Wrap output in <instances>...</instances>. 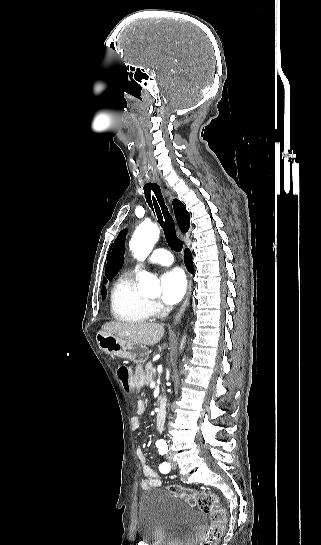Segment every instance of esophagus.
<instances>
[{
	"label": "esophagus",
	"instance_id": "34e87169",
	"mask_svg": "<svg viewBox=\"0 0 321 545\" xmlns=\"http://www.w3.org/2000/svg\"><path fill=\"white\" fill-rule=\"evenodd\" d=\"M167 198H168L169 201L171 200V196L169 194H167ZM192 284H193L192 283V277L190 276L189 277V286H188V291H187L186 298L183 301V304L181 305L180 310L178 311V313L176 314V316H175V318L173 320V325H176L180 321V319H181V317H182V315H183V313H184V311L186 309V306H187V304L189 302V299H190V296H191Z\"/></svg>",
	"mask_w": 321,
	"mask_h": 545
}]
</instances>
